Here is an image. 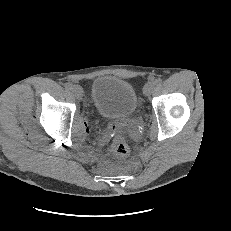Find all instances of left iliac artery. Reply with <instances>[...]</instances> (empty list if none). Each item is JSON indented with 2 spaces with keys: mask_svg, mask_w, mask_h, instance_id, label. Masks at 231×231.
<instances>
[{
  "mask_svg": "<svg viewBox=\"0 0 231 231\" xmlns=\"http://www.w3.org/2000/svg\"><path fill=\"white\" fill-rule=\"evenodd\" d=\"M162 83V79L161 78H157L155 81H154V84L155 85H160Z\"/></svg>",
  "mask_w": 231,
  "mask_h": 231,
  "instance_id": "44dca946",
  "label": "left iliac artery"
}]
</instances>
